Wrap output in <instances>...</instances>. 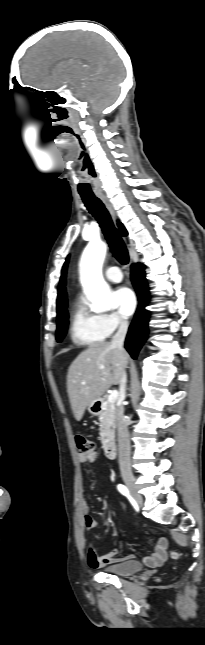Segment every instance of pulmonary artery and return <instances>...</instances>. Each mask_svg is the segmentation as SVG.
I'll list each match as a JSON object with an SVG mask.
<instances>
[{
  "label": "pulmonary artery",
  "mask_w": 205,
  "mask_h": 645,
  "mask_svg": "<svg viewBox=\"0 0 205 645\" xmlns=\"http://www.w3.org/2000/svg\"><path fill=\"white\" fill-rule=\"evenodd\" d=\"M105 275L109 281L115 283L121 282L123 278L122 272L116 266L108 268L105 272Z\"/></svg>",
  "instance_id": "1"
}]
</instances>
